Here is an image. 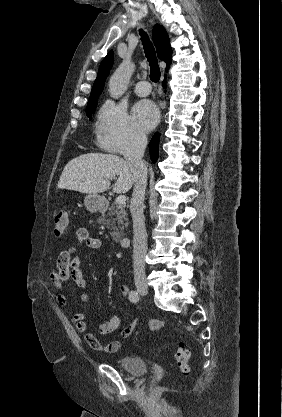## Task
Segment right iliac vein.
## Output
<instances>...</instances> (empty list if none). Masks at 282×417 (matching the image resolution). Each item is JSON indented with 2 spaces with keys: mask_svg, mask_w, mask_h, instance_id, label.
Wrapping results in <instances>:
<instances>
[{
  "mask_svg": "<svg viewBox=\"0 0 282 417\" xmlns=\"http://www.w3.org/2000/svg\"><path fill=\"white\" fill-rule=\"evenodd\" d=\"M137 290L142 295H146L148 293V287L145 283H138Z\"/></svg>",
  "mask_w": 282,
  "mask_h": 417,
  "instance_id": "63e3f726",
  "label": "right iliac vein"
}]
</instances>
